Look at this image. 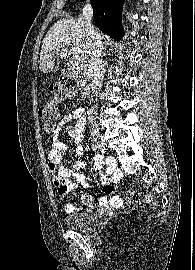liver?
<instances>
[{
  "label": "liver",
  "mask_w": 195,
  "mask_h": 270,
  "mask_svg": "<svg viewBox=\"0 0 195 270\" xmlns=\"http://www.w3.org/2000/svg\"><path fill=\"white\" fill-rule=\"evenodd\" d=\"M71 41L72 49L80 50V55L85 56L87 50V32L82 18H63L57 21L47 32L43 39L40 51L39 68L42 72L53 71L55 65V51L61 49L60 56H67L63 40ZM63 43V45H62Z\"/></svg>",
  "instance_id": "liver-1"
}]
</instances>
